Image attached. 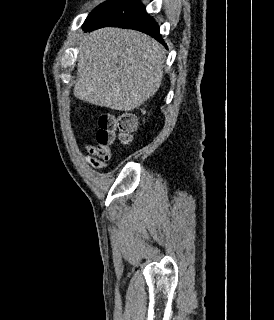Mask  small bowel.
<instances>
[{
    "instance_id": "small-bowel-1",
    "label": "small bowel",
    "mask_w": 274,
    "mask_h": 320,
    "mask_svg": "<svg viewBox=\"0 0 274 320\" xmlns=\"http://www.w3.org/2000/svg\"><path fill=\"white\" fill-rule=\"evenodd\" d=\"M85 151L87 152V154L83 153L81 155L82 159L94 168H107V163H112L113 159L109 154L112 151L111 146L85 145ZM92 152L95 154H93Z\"/></svg>"
}]
</instances>
